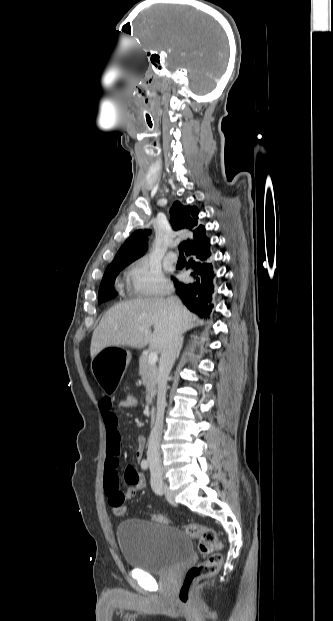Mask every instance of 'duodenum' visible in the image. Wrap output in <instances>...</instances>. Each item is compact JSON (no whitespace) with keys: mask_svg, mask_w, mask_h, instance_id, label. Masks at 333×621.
Here are the masks:
<instances>
[{"mask_svg":"<svg viewBox=\"0 0 333 621\" xmlns=\"http://www.w3.org/2000/svg\"><path fill=\"white\" fill-rule=\"evenodd\" d=\"M156 416H157V414H156V410L152 409V410L150 411V414H149V417H150V418H149V423H150V425H151V426H153V425L155 424V422H156Z\"/></svg>","mask_w":333,"mask_h":621,"instance_id":"1","label":"duodenum"}]
</instances>
